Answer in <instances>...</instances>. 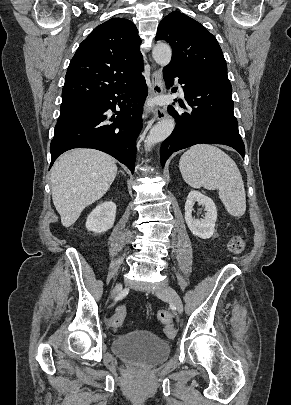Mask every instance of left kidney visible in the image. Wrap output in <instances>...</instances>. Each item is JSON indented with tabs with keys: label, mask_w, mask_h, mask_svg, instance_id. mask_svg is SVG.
I'll return each mask as SVG.
<instances>
[{
	"label": "left kidney",
	"mask_w": 291,
	"mask_h": 405,
	"mask_svg": "<svg viewBox=\"0 0 291 405\" xmlns=\"http://www.w3.org/2000/svg\"><path fill=\"white\" fill-rule=\"evenodd\" d=\"M196 202L205 206V217L200 220L192 217ZM216 220L217 209L213 200L198 191H190L185 203V221L192 234L202 239H209L214 234Z\"/></svg>",
	"instance_id": "5707ae66"
}]
</instances>
